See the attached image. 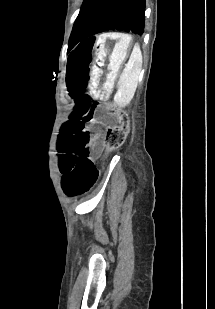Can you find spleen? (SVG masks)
Masks as SVG:
<instances>
[{
    "mask_svg": "<svg viewBox=\"0 0 215 309\" xmlns=\"http://www.w3.org/2000/svg\"><path fill=\"white\" fill-rule=\"evenodd\" d=\"M142 66V52L140 44L136 42L133 46L131 56L124 68L119 80L118 90L114 100L118 106H127L131 102L138 84V74Z\"/></svg>",
    "mask_w": 215,
    "mask_h": 309,
    "instance_id": "1",
    "label": "spleen"
}]
</instances>
